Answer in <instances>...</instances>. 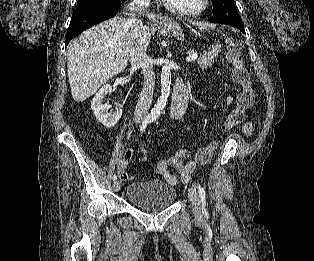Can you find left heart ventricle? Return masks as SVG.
Segmentation results:
<instances>
[{"instance_id": "left-heart-ventricle-1", "label": "left heart ventricle", "mask_w": 314, "mask_h": 261, "mask_svg": "<svg viewBox=\"0 0 314 261\" xmlns=\"http://www.w3.org/2000/svg\"><path fill=\"white\" fill-rule=\"evenodd\" d=\"M173 5L183 9H194L199 6L201 0H168Z\"/></svg>"}]
</instances>
